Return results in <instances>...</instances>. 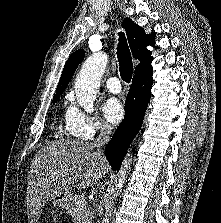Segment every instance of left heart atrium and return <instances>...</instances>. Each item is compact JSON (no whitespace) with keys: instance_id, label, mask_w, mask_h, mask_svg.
Returning a JSON list of instances; mask_svg holds the SVG:
<instances>
[{"instance_id":"1","label":"left heart atrium","mask_w":221,"mask_h":223,"mask_svg":"<svg viewBox=\"0 0 221 223\" xmlns=\"http://www.w3.org/2000/svg\"><path fill=\"white\" fill-rule=\"evenodd\" d=\"M104 118L110 124L119 123L124 117V108L115 98H109L103 105Z\"/></svg>"}]
</instances>
